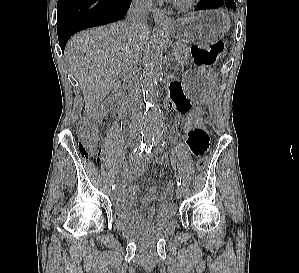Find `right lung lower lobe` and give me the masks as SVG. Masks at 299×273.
<instances>
[{
	"mask_svg": "<svg viewBox=\"0 0 299 273\" xmlns=\"http://www.w3.org/2000/svg\"><path fill=\"white\" fill-rule=\"evenodd\" d=\"M132 0H58L57 34L64 53L68 39L80 30L123 18Z\"/></svg>",
	"mask_w": 299,
	"mask_h": 273,
	"instance_id": "obj_1",
	"label": "right lung lower lobe"
}]
</instances>
